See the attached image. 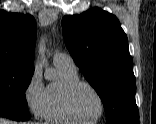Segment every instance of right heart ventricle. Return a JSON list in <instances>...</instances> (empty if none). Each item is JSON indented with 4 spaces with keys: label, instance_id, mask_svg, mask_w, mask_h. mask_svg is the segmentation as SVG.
Listing matches in <instances>:
<instances>
[{
    "label": "right heart ventricle",
    "instance_id": "e07e8e85",
    "mask_svg": "<svg viewBox=\"0 0 156 124\" xmlns=\"http://www.w3.org/2000/svg\"><path fill=\"white\" fill-rule=\"evenodd\" d=\"M59 78L47 86L46 119L57 124H78L68 112L65 105V89L77 80H80L76 67L56 65Z\"/></svg>",
    "mask_w": 156,
    "mask_h": 124
}]
</instances>
